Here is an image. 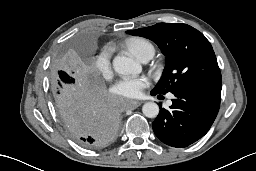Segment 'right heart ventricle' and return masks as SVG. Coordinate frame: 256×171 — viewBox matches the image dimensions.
<instances>
[{
    "label": "right heart ventricle",
    "mask_w": 256,
    "mask_h": 171,
    "mask_svg": "<svg viewBox=\"0 0 256 171\" xmlns=\"http://www.w3.org/2000/svg\"><path fill=\"white\" fill-rule=\"evenodd\" d=\"M124 47L141 61L146 58H151L155 53L154 45L149 40L141 37L128 39Z\"/></svg>",
    "instance_id": "e07e8e85"
}]
</instances>
